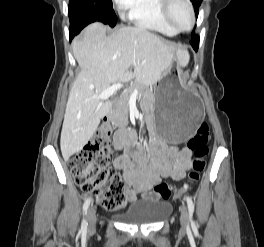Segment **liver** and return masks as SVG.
I'll return each mask as SVG.
<instances>
[{
    "label": "liver",
    "mask_w": 264,
    "mask_h": 247,
    "mask_svg": "<svg viewBox=\"0 0 264 247\" xmlns=\"http://www.w3.org/2000/svg\"><path fill=\"white\" fill-rule=\"evenodd\" d=\"M106 32L102 23H92L72 44L81 71L70 90L61 131L65 161L87 144L112 108V101L94 96L132 77L155 84L172 63L173 47L145 28L122 27L108 36Z\"/></svg>",
    "instance_id": "obj_1"
}]
</instances>
